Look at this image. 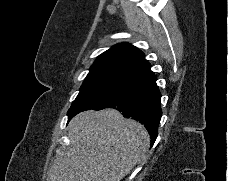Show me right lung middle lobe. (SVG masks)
I'll list each match as a JSON object with an SVG mask.
<instances>
[{"instance_id":"right-lung-middle-lobe-1","label":"right lung middle lobe","mask_w":228,"mask_h":181,"mask_svg":"<svg viewBox=\"0 0 228 181\" xmlns=\"http://www.w3.org/2000/svg\"><path fill=\"white\" fill-rule=\"evenodd\" d=\"M129 83L130 80L116 77H86L68 111V118L111 100Z\"/></svg>"}]
</instances>
